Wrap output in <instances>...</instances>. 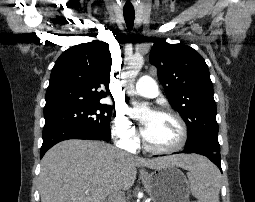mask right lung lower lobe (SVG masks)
<instances>
[{
  "label": "right lung lower lobe",
  "instance_id": "98d812e1",
  "mask_svg": "<svg viewBox=\"0 0 255 202\" xmlns=\"http://www.w3.org/2000/svg\"><path fill=\"white\" fill-rule=\"evenodd\" d=\"M67 139L102 140L96 135L79 127L64 126L45 129L43 130V144L40 151V158H42L46 151L53 145Z\"/></svg>",
  "mask_w": 255,
  "mask_h": 202
}]
</instances>
